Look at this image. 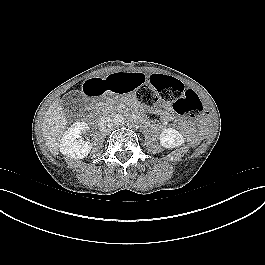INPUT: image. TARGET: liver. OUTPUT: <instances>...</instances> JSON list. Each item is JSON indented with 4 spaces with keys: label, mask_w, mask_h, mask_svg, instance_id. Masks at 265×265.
Instances as JSON below:
<instances>
[{
    "label": "liver",
    "mask_w": 265,
    "mask_h": 265,
    "mask_svg": "<svg viewBox=\"0 0 265 265\" xmlns=\"http://www.w3.org/2000/svg\"><path fill=\"white\" fill-rule=\"evenodd\" d=\"M67 118L59 100H56L46 112L42 132L50 152L58 155L61 137L66 129Z\"/></svg>",
    "instance_id": "obj_1"
}]
</instances>
